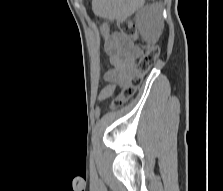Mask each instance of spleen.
<instances>
[{"label":"spleen","mask_w":223,"mask_h":191,"mask_svg":"<svg viewBox=\"0 0 223 191\" xmlns=\"http://www.w3.org/2000/svg\"><path fill=\"white\" fill-rule=\"evenodd\" d=\"M141 0H93V11L102 18H123L138 8Z\"/></svg>","instance_id":"spleen-1"}]
</instances>
